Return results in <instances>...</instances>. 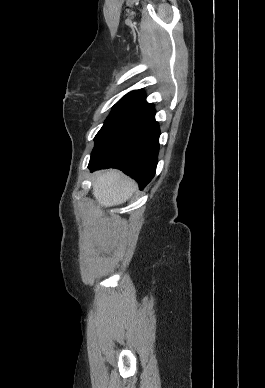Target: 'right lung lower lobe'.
Returning a JSON list of instances; mask_svg holds the SVG:
<instances>
[{
    "label": "right lung lower lobe",
    "instance_id": "98d812e1",
    "mask_svg": "<svg viewBox=\"0 0 265 388\" xmlns=\"http://www.w3.org/2000/svg\"><path fill=\"white\" fill-rule=\"evenodd\" d=\"M159 125L153 104L96 147L89 169L118 168L134 178L143 189L154 177L159 151Z\"/></svg>",
    "mask_w": 265,
    "mask_h": 388
}]
</instances>
